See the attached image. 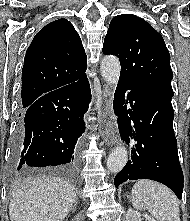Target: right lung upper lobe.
<instances>
[{"label":"right lung upper lobe","mask_w":190,"mask_h":221,"mask_svg":"<svg viewBox=\"0 0 190 221\" xmlns=\"http://www.w3.org/2000/svg\"><path fill=\"white\" fill-rule=\"evenodd\" d=\"M87 56L71 22L58 19L42 28L26 51L22 70L25 108L42 95L84 77Z\"/></svg>","instance_id":"cb5924a9"}]
</instances>
